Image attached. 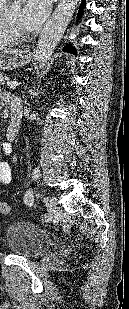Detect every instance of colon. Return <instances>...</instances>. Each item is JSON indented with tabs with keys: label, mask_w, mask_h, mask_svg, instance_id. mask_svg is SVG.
<instances>
[{
	"label": "colon",
	"mask_w": 129,
	"mask_h": 309,
	"mask_svg": "<svg viewBox=\"0 0 129 309\" xmlns=\"http://www.w3.org/2000/svg\"><path fill=\"white\" fill-rule=\"evenodd\" d=\"M11 212V206L4 201H0V213L1 214H8Z\"/></svg>",
	"instance_id": "5ec220e1"
}]
</instances>
